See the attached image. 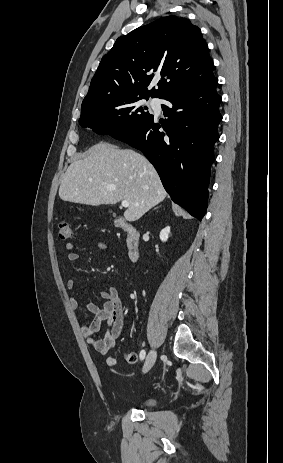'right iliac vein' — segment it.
Here are the masks:
<instances>
[{"instance_id":"63e3f726","label":"right iliac vein","mask_w":283,"mask_h":463,"mask_svg":"<svg viewBox=\"0 0 283 463\" xmlns=\"http://www.w3.org/2000/svg\"><path fill=\"white\" fill-rule=\"evenodd\" d=\"M157 358V352L155 349H152L145 360L144 366H143V373H147L154 365L155 361Z\"/></svg>"}]
</instances>
